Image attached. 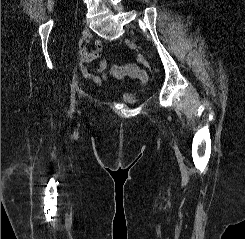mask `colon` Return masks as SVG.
Listing matches in <instances>:
<instances>
[{
    "mask_svg": "<svg viewBox=\"0 0 245 239\" xmlns=\"http://www.w3.org/2000/svg\"><path fill=\"white\" fill-rule=\"evenodd\" d=\"M111 73L115 77H123L128 75L134 79H138L142 83H146L148 81L147 73L133 64L113 65L111 67Z\"/></svg>",
    "mask_w": 245,
    "mask_h": 239,
    "instance_id": "colon-1",
    "label": "colon"
}]
</instances>
